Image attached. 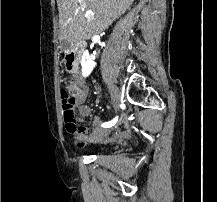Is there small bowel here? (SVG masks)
<instances>
[{"label":"small bowel","instance_id":"obj_1","mask_svg":"<svg viewBox=\"0 0 217 202\" xmlns=\"http://www.w3.org/2000/svg\"><path fill=\"white\" fill-rule=\"evenodd\" d=\"M68 88L74 89V100L77 105V113L80 119H85L91 115V108L87 105H83L82 102L85 99L88 88L83 84H71L68 83ZM97 121V119H95ZM74 136H85L86 139H88L91 142H118V143H124L128 139L132 137V132L130 130H126L123 127L122 122H118L115 126L113 131L111 132H100L97 130H94L93 133H90V130L88 128L83 127V131H74ZM77 147H84V142H77Z\"/></svg>","mask_w":217,"mask_h":202}]
</instances>
